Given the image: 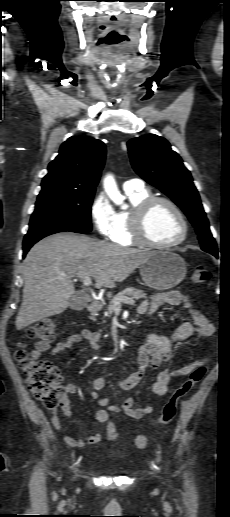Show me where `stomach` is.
Instances as JSON below:
<instances>
[{
  "label": "stomach",
  "instance_id": "0dacf381",
  "mask_svg": "<svg viewBox=\"0 0 230 517\" xmlns=\"http://www.w3.org/2000/svg\"><path fill=\"white\" fill-rule=\"evenodd\" d=\"M186 273L184 259L169 250L153 251L140 265V274L145 285L158 291L177 286L183 281Z\"/></svg>",
  "mask_w": 230,
  "mask_h": 517
}]
</instances>
